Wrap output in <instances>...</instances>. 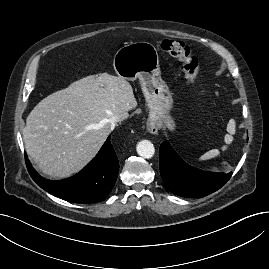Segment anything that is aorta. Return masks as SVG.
Returning <instances> with one entry per match:
<instances>
[{
	"label": "aorta",
	"instance_id": "aorta-1",
	"mask_svg": "<svg viewBox=\"0 0 269 269\" xmlns=\"http://www.w3.org/2000/svg\"><path fill=\"white\" fill-rule=\"evenodd\" d=\"M137 153L146 159L153 157L155 153L154 145L149 140H142L136 146Z\"/></svg>",
	"mask_w": 269,
	"mask_h": 269
}]
</instances>
